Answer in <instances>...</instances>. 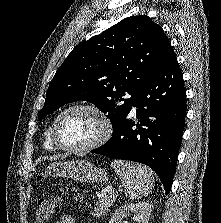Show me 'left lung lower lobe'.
I'll return each mask as SVG.
<instances>
[{
  "instance_id": "0a47b994",
  "label": "left lung lower lobe",
  "mask_w": 221,
  "mask_h": 223,
  "mask_svg": "<svg viewBox=\"0 0 221 223\" xmlns=\"http://www.w3.org/2000/svg\"><path fill=\"white\" fill-rule=\"evenodd\" d=\"M132 106L137 107V122L128 118ZM186 109L183 74L170 45L161 68L135 95L110 140L91 152L148 165L159 176L167 195L176 170Z\"/></svg>"
}]
</instances>
